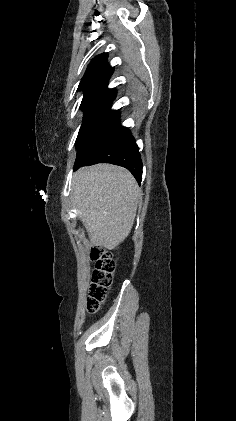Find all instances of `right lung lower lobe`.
Returning a JSON list of instances; mask_svg holds the SVG:
<instances>
[{
	"mask_svg": "<svg viewBox=\"0 0 236 421\" xmlns=\"http://www.w3.org/2000/svg\"><path fill=\"white\" fill-rule=\"evenodd\" d=\"M119 111L113 113L78 149L74 170L96 163H111L130 170L140 183L142 161L135 140L120 124Z\"/></svg>",
	"mask_w": 236,
	"mask_h": 421,
	"instance_id": "98d812e1",
	"label": "right lung lower lobe"
}]
</instances>
